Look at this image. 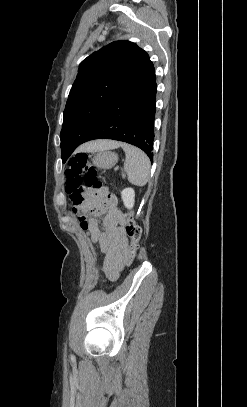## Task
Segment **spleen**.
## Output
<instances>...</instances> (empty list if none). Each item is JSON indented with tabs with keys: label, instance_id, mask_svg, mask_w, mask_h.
<instances>
[{
	"label": "spleen",
	"instance_id": "spleen-1",
	"mask_svg": "<svg viewBox=\"0 0 247 407\" xmlns=\"http://www.w3.org/2000/svg\"><path fill=\"white\" fill-rule=\"evenodd\" d=\"M121 147L125 151L126 160L124 171L128 175V181L136 186H144L150 176V160L139 148L122 143Z\"/></svg>",
	"mask_w": 247,
	"mask_h": 407
}]
</instances>
